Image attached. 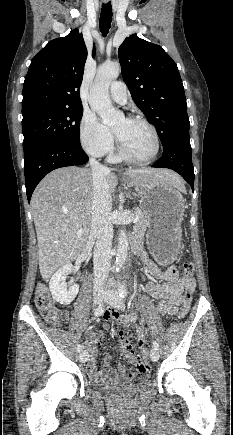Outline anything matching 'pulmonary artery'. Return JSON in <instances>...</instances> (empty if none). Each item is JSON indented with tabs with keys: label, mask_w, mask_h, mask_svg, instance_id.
<instances>
[{
	"label": "pulmonary artery",
	"mask_w": 233,
	"mask_h": 435,
	"mask_svg": "<svg viewBox=\"0 0 233 435\" xmlns=\"http://www.w3.org/2000/svg\"><path fill=\"white\" fill-rule=\"evenodd\" d=\"M109 94L110 97L118 103L124 104L127 101L126 86L121 81H116L111 84Z\"/></svg>",
	"instance_id": "obj_1"
}]
</instances>
